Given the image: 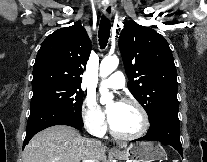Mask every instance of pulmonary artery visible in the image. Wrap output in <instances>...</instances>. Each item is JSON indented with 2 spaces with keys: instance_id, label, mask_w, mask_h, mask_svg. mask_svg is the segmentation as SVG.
<instances>
[{
  "instance_id": "1",
  "label": "pulmonary artery",
  "mask_w": 207,
  "mask_h": 162,
  "mask_svg": "<svg viewBox=\"0 0 207 162\" xmlns=\"http://www.w3.org/2000/svg\"><path fill=\"white\" fill-rule=\"evenodd\" d=\"M103 85L110 89L119 90L124 87L125 85V79L124 75L116 71L112 73L107 79H105L103 82Z\"/></svg>"
}]
</instances>
